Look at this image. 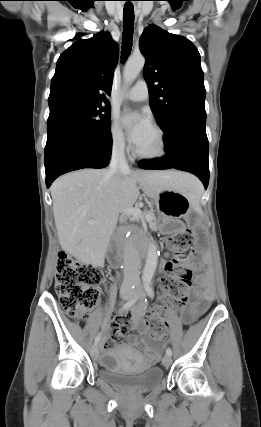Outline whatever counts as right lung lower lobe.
<instances>
[{
  "mask_svg": "<svg viewBox=\"0 0 261 427\" xmlns=\"http://www.w3.org/2000/svg\"><path fill=\"white\" fill-rule=\"evenodd\" d=\"M112 150L111 135L92 138L58 133L47 138L45 147L46 186L60 175L82 168H104Z\"/></svg>",
  "mask_w": 261,
  "mask_h": 427,
  "instance_id": "right-lung-lower-lobe-1",
  "label": "right lung lower lobe"
}]
</instances>
